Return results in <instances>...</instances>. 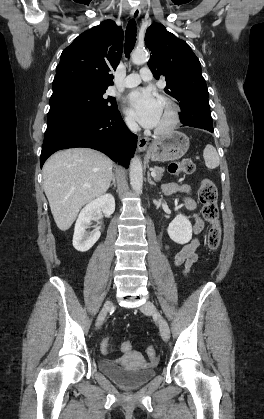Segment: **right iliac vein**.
Masks as SVG:
<instances>
[{
  "label": "right iliac vein",
  "mask_w": 264,
  "mask_h": 419,
  "mask_svg": "<svg viewBox=\"0 0 264 419\" xmlns=\"http://www.w3.org/2000/svg\"><path fill=\"white\" fill-rule=\"evenodd\" d=\"M111 306H112V302H111V301H107V302L104 304V307H103V309L101 310V312H100V314H99V316H98V318H97V323H96V326H97V327L101 326V324H102V323H103V321L105 320L106 315H107V313H108L109 309L111 308Z\"/></svg>",
  "instance_id": "right-iliac-vein-1"
}]
</instances>
